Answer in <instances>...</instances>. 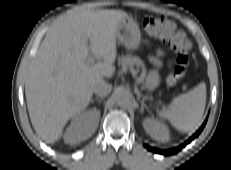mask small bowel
Listing matches in <instances>:
<instances>
[{
  "label": "small bowel",
  "mask_w": 231,
  "mask_h": 170,
  "mask_svg": "<svg viewBox=\"0 0 231 170\" xmlns=\"http://www.w3.org/2000/svg\"><path fill=\"white\" fill-rule=\"evenodd\" d=\"M161 55H162V52H160V53L158 54V57L155 58V63H156V64H160L159 57H160Z\"/></svg>",
  "instance_id": "1"
}]
</instances>
